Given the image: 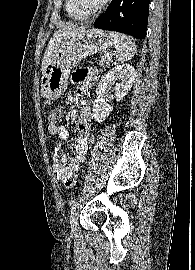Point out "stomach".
I'll return each instance as SVG.
<instances>
[{
    "label": "stomach",
    "instance_id": "0dacf381",
    "mask_svg": "<svg viewBox=\"0 0 195 270\" xmlns=\"http://www.w3.org/2000/svg\"><path fill=\"white\" fill-rule=\"evenodd\" d=\"M112 41L109 35L100 29L89 28L65 38L64 47L58 57L48 65L42 77L41 93L48 100L64 94L70 70L82 59L105 52Z\"/></svg>",
    "mask_w": 195,
    "mask_h": 270
}]
</instances>
